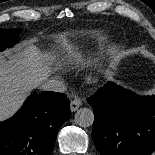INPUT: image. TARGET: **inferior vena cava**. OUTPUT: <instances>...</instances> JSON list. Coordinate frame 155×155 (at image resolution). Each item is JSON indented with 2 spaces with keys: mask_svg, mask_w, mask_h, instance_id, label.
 I'll use <instances>...</instances> for the list:
<instances>
[{
  "mask_svg": "<svg viewBox=\"0 0 155 155\" xmlns=\"http://www.w3.org/2000/svg\"><path fill=\"white\" fill-rule=\"evenodd\" d=\"M43 90L45 91H54V92H64L65 91V85L63 82L56 80V79H49L47 80L43 86Z\"/></svg>",
  "mask_w": 155,
  "mask_h": 155,
  "instance_id": "inferior-vena-cava-1",
  "label": "inferior vena cava"
}]
</instances>
